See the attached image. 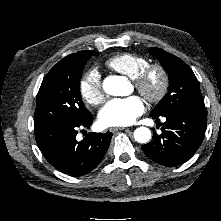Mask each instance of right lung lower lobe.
I'll list each match as a JSON object with an SVG mask.
<instances>
[{
  "mask_svg": "<svg viewBox=\"0 0 221 221\" xmlns=\"http://www.w3.org/2000/svg\"><path fill=\"white\" fill-rule=\"evenodd\" d=\"M92 121L90 113L79 122L59 123L35 130L37 145L46 160L72 176L85 175L97 167L109 147L112 133H89L78 142V128H89Z\"/></svg>",
  "mask_w": 221,
  "mask_h": 221,
  "instance_id": "98d812e1",
  "label": "right lung lower lobe"
}]
</instances>
